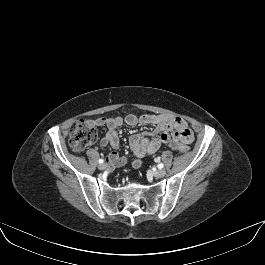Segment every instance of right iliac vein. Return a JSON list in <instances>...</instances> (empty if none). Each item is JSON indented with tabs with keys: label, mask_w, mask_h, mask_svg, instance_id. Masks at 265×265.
<instances>
[{
	"label": "right iliac vein",
	"mask_w": 265,
	"mask_h": 265,
	"mask_svg": "<svg viewBox=\"0 0 265 265\" xmlns=\"http://www.w3.org/2000/svg\"><path fill=\"white\" fill-rule=\"evenodd\" d=\"M106 167H107L106 164H100V165L98 166V168H99L100 170H104V169H106Z\"/></svg>",
	"instance_id": "63e3f726"
}]
</instances>
